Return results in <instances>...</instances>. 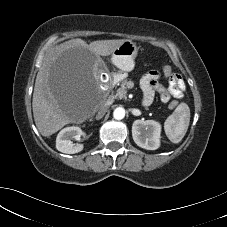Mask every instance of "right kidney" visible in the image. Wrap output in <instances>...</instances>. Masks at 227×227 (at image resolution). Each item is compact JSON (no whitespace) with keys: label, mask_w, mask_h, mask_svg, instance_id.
Returning <instances> with one entry per match:
<instances>
[{"label":"right kidney","mask_w":227,"mask_h":227,"mask_svg":"<svg viewBox=\"0 0 227 227\" xmlns=\"http://www.w3.org/2000/svg\"><path fill=\"white\" fill-rule=\"evenodd\" d=\"M80 127L71 126L62 129L56 138V148L58 151L66 154L78 153L83 149V145L73 143L72 140L84 136Z\"/></svg>","instance_id":"obj_1"}]
</instances>
